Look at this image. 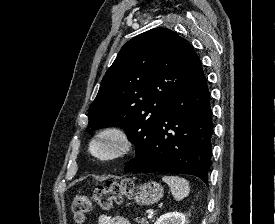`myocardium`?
I'll return each instance as SVG.
<instances>
[{"mask_svg": "<svg viewBox=\"0 0 275 224\" xmlns=\"http://www.w3.org/2000/svg\"><path fill=\"white\" fill-rule=\"evenodd\" d=\"M109 143V150L103 152L99 146ZM133 143L129 133L120 126L110 125L97 130L88 143V152L96 160L104 163L124 158L132 149Z\"/></svg>", "mask_w": 275, "mask_h": 224, "instance_id": "1", "label": "myocardium"}]
</instances>
